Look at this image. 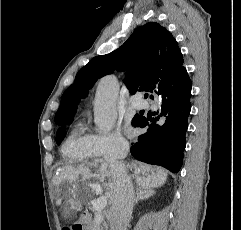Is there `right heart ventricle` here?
Returning a JSON list of instances; mask_svg holds the SVG:
<instances>
[{
  "label": "right heart ventricle",
  "instance_id": "right-heart-ventricle-1",
  "mask_svg": "<svg viewBox=\"0 0 241 230\" xmlns=\"http://www.w3.org/2000/svg\"><path fill=\"white\" fill-rule=\"evenodd\" d=\"M62 153L69 162H83L97 157L92 142L91 135L86 134L81 124L75 127L67 136Z\"/></svg>",
  "mask_w": 241,
  "mask_h": 230
}]
</instances>
